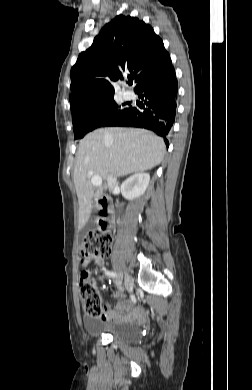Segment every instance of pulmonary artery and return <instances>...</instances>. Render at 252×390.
Masks as SVG:
<instances>
[{
	"label": "pulmonary artery",
	"mask_w": 252,
	"mask_h": 390,
	"mask_svg": "<svg viewBox=\"0 0 252 390\" xmlns=\"http://www.w3.org/2000/svg\"><path fill=\"white\" fill-rule=\"evenodd\" d=\"M124 97H125L126 99H128V100H132V99L135 98V93H134L132 90L127 89V90H125V92H124Z\"/></svg>",
	"instance_id": "pulmonary-artery-1"
}]
</instances>
